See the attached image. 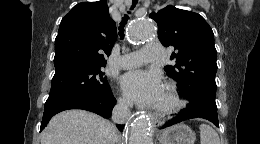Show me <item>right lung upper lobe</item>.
I'll list each match as a JSON object with an SVG mask.
<instances>
[{
	"mask_svg": "<svg viewBox=\"0 0 260 144\" xmlns=\"http://www.w3.org/2000/svg\"><path fill=\"white\" fill-rule=\"evenodd\" d=\"M117 39L106 0L82 2L62 19L55 39V69L70 64L106 65Z\"/></svg>",
	"mask_w": 260,
	"mask_h": 144,
	"instance_id": "obj_1",
	"label": "right lung upper lobe"
}]
</instances>
